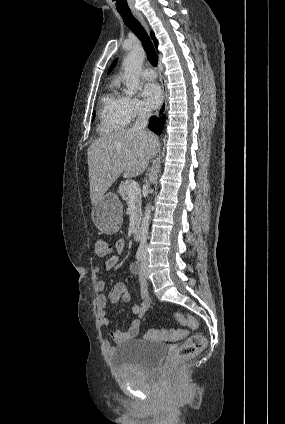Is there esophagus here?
Returning a JSON list of instances; mask_svg holds the SVG:
<instances>
[{
    "label": "esophagus",
    "mask_w": 285,
    "mask_h": 424,
    "mask_svg": "<svg viewBox=\"0 0 285 424\" xmlns=\"http://www.w3.org/2000/svg\"><path fill=\"white\" fill-rule=\"evenodd\" d=\"M134 14L139 19V21L141 22L143 27L146 29V31L149 32L148 24H147L146 20L144 19V17L142 16V14L140 12H137V11H134ZM162 93H163L162 103H161L159 109L155 113V117L158 118V119L165 113V111L167 109L168 95H167V89H166L165 84L162 85Z\"/></svg>",
    "instance_id": "1"
}]
</instances>
